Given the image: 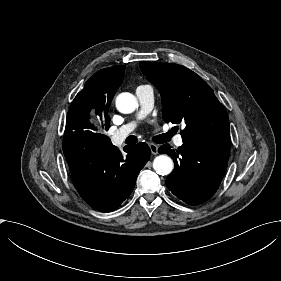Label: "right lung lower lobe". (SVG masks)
<instances>
[{
    "label": "right lung lower lobe",
    "instance_id": "obj_1",
    "mask_svg": "<svg viewBox=\"0 0 281 281\" xmlns=\"http://www.w3.org/2000/svg\"><path fill=\"white\" fill-rule=\"evenodd\" d=\"M124 149L127 155L98 132L64 134L63 151L74 185L80 196L100 212L116 210L131 194L151 154L144 142Z\"/></svg>",
    "mask_w": 281,
    "mask_h": 281
}]
</instances>
